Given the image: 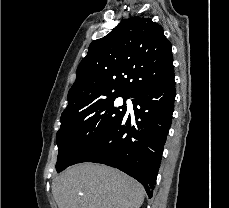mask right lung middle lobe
Segmentation results:
<instances>
[{"label":"right lung middle lobe","mask_w":229,"mask_h":208,"mask_svg":"<svg viewBox=\"0 0 229 208\" xmlns=\"http://www.w3.org/2000/svg\"><path fill=\"white\" fill-rule=\"evenodd\" d=\"M118 97H122L124 103L116 107L114 104ZM126 99L128 97L123 96L101 99L61 118V127L57 132V172L70 166L84 148L120 120L127 110Z\"/></svg>","instance_id":"obj_1"}]
</instances>
